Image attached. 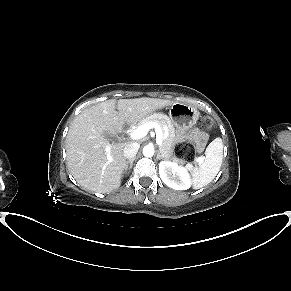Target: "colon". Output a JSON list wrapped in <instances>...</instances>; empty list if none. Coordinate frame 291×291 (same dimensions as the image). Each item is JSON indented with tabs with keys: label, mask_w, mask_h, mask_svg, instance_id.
Wrapping results in <instances>:
<instances>
[{
	"label": "colon",
	"mask_w": 291,
	"mask_h": 291,
	"mask_svg": "<svg viewBox=\"0 0 291 291\" xmlns=\"http://www.w3.org/2000/svg\"><path fill=\"white\" fill-rule=\"evenodd\" d=\"M213 124L209 118H203L200 121V128L208 130L212 128ZM174 154L178 159L191 160L195 156V145L190 141H185L175 147Z\"/></svg>",
	"instance_id": "colon-1"
}]
</instances>
